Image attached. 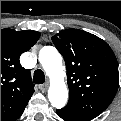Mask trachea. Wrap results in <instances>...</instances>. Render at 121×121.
Here are the masks:
<instances>
[{
  "instance_id": "obj_1",
  "label": "trachea",
  "mask_w": 121,
  "mask_h": 121,
  "mask_svg": "<svg viewBox=\"0 0 121 121\" xmlns=\"http://www.w3.org/2000/svg\"><path fill=\"white\" fill-rule=\"evenodd\" d=\"M45 81V75L42 70L38 69L34 72L33 82L35 84H43Z\"/></svg>"
}]
</instances>
